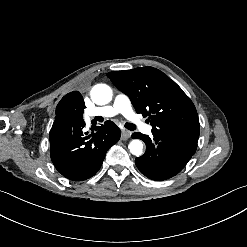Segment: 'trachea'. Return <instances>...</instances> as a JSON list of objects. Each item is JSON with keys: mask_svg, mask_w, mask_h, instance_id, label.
<instances>
[{"mask_svg": "<svg viewBox=\"0 0 247 247\" xmlns=\"http://www.w3.org/2000/svg\"><path fill=\"white\" fill-rule=\"evenodd\" d=\"M125 127L128 129V130H135L136 129V126L132 123H126L125 124Z\"/></svg>", "mask_w": 247, "mask_h": 247, "instance_id": "3493384b", "label": "trachea"}]
</instances>
